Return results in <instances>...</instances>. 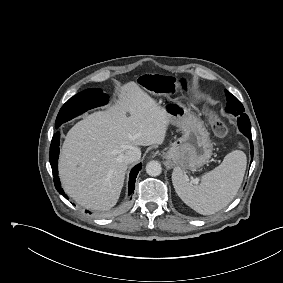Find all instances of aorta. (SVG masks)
Instances as JSON below:
<instances>
[{"label":"aorta","mask_w":283,"mask_h":283,"mask_svg":"<svg viewBox=\"0 0 283 283\" xmlns=\"http://www.w3.org/2000/svg\"><path fill=\"white\" fill-rule=\"evenodd\" d=\"M146 172L150 176H158L162 172L161 164L158 161H150L146 165Z\"/></svg>","instance_id":"obj_1"}]
</instances>
